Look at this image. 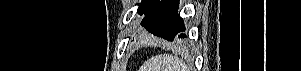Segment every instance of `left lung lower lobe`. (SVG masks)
Returning a JSON list of instances; mask_svg holds the SVG:
<instances>
[{"label":"left lung lower lobe","instance_id":"obj_1","mask_svg":"<svg viewBox=\"0 0 301 71\" xmlns=\"http://www.w3.org/2000/svg\"><path fill=\"white\" fill-rule=\"evenodd\" d=\"M178 0H161L141 21V25L153 35L165 40L184 43L185 26L178 14Z\"/></svg>","mask_w":301,"mask_h":71}]
</instances>
